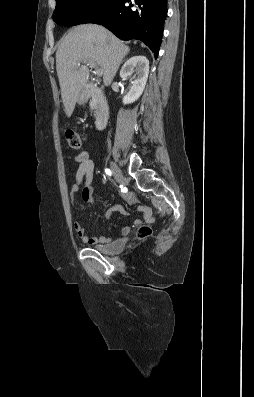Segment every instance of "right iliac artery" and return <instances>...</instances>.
I'll list each match as a JSON object with an SVG mask.
<instances>
[{
	"instance_id": "1",
	"label": "right iliac artery",
	"mask_w": 254,
	"mask_h": 397,
	"mask_svg": "<svg viewBox=\"0 0 254 397\" xmlns=\"http://www.w3.org/2000/svg\"><path fill=\"white\" fill-rule=\"evenodd\" d=\"M105 173H106L108 176H112V172H111L109 169H105Z\"/></svg>"
}]
</instances>
